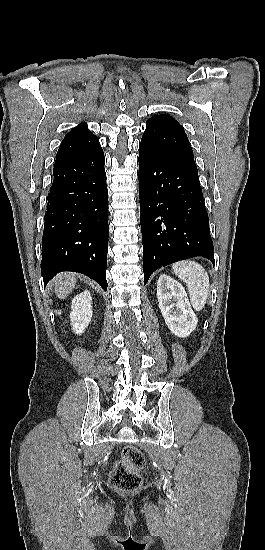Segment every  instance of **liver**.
I'll return each mask as SVG.
<instances>
[{
    "label": "liver",
    "mask_w": 265,
    "mask_h": 550,
    "mask_svg": "<svg viewBox=\"0 0 265 550\" xmlns=\"http://www.w3.org/2000/svg\"><path fill=\"white\" fill-rule=\"evenodd\" d=\"M76 284V274L65 272L58 274L52 281L55 294L60 299H65L74 289Z\"/></svg>",
    "instance_id": "6515ba94"
}]
</instances>
